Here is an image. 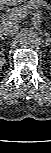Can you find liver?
Returning a JSON list of instances; mask_svg holds the SVG:
<instances>
[{"instance_id": "obj_1", "label": "liver", "mask_w": 51, "mask_h": 153, "mask_svg": "<svg viewBox=\"0 0 51 153\" xmlns=\"http://www.w3.org/2000/svg\"><path fill=\"white\" fill-rule=\"evenodd\" d=\"M22 2V0L20 1V3ZM12 3H18L17 0H0V4L4 5V4H12Z\"/></svg>"}]
</instances>
